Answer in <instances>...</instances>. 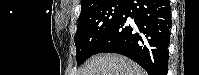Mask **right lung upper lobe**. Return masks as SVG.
I'll return each mask as SVG.
<instances>
[{
  "label": "right lung upper lobe",
  "mask_w": 199,
  "mask_h": 75,
  "mask_svg": "<svg viewBox=\"0 0 199 75\" xmlns=\"http://www.w3.org/2000/svg\"><path fill=\"white\" fill-rule=\"evenodd\" d=\"M104 0H81V11L88 9Z\"/></svg>",
  "instance_id": "cb5924a9"
}]
</instances>
